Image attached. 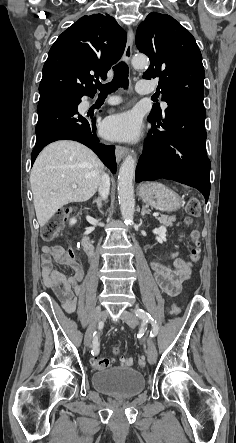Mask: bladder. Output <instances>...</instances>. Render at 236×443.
<instances>
[{"label": "bladder", "instance_id": "1", "mask_svg": "<svg viewBox=\"0 0 236 443\" xmlns=\"http://www.w3.org/2000/svg\"><path fill=\"white\" fill-rule=\"evenodd\" d=\"M93 387L100 393L115 398H133L145 388V377L135 369L113 368L96 372Z\"/></svg>", "mask_w": 236, "mask_h": 443}]
</instances>
